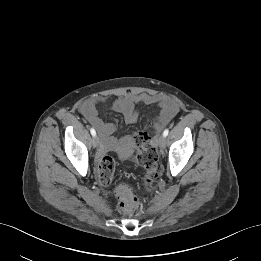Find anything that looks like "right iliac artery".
I'll list each match as a JSON object with an SVG mask.
<instances>
[{
    "mask_svg": "<svg viewBox=\"0 0 261 261\" xmlns=\"http://www.w3.org/2000/svg\"><path fill=\"white\" fill-rule=\"evenodd\" d=\"M90 132H91V135H92V136H95V135H96V131L94 130V128H91V129H90Z\"/></svg>",
    "mask_w": 261,
    "mask_h": 261,
    "instance_id": "82829eb1",
    "label": "right iliac artery"
}]
</instances>
